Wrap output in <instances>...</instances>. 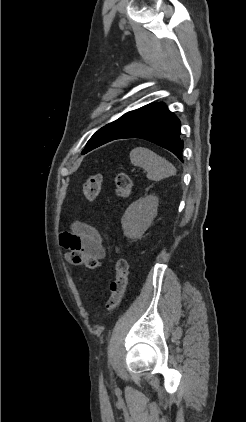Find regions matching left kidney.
<instances>
[{
  "instance_id": "obj_1",
  "label": "left kidney",
  "mask_w": 246,
  "mask_h": 422,
  "mask_svg": "<svg viewBox=\"0 0 246 422\" xmlns=\"http://www.w3.org/2000/svg\"><path fill=\"white\" fill-rule=\"evenodd\" d=\"M158 204V197L153 195L133 202L121 219L124 235L131 239H140L156 217Z\"/></svg>"
}]
</instances>
